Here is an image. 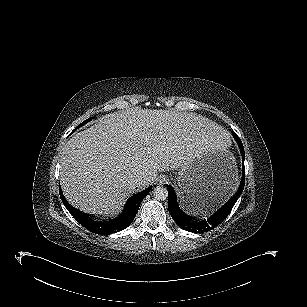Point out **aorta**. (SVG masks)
I'll use <instances>...</instances> for the list:
<instances>
[{
    "instance_id": "1",
    "label": "aorta",
    "mask_w": 307,
    "mask_h": 307,
    "mask_svg": "<svg viewBox=\"0 0 307 307\" xmlns=\"http://www.w3.org/2000/svg\"><path fill=\"white\" fill-rule=\"evenodd\" d=\"M154 198L158 201H164L168 198V191L163 186H158L153 192Z\"/></svg>"
}]
</instances>
